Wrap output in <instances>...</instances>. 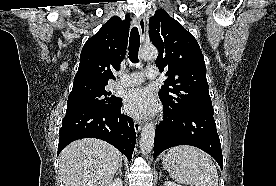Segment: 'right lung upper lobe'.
<instances>
[{"label":"right lung upper lobe","instance_id":"obj_1","mask_svg":"<svg viewBox=\"0 0 276 186\" xmlns=\"http://www.w3.org/2000/svg\"><path fill=\"white\" fill-rule=\"evenodd\" d=\"M129 27L128 15L125 16V20L113 16L87 40L81 51L73 88L85 85H107L109 79H115L113 73L119 70L126 53Z\"/></svg>","mask_w":276,"mask_h":186}]
</instances>
